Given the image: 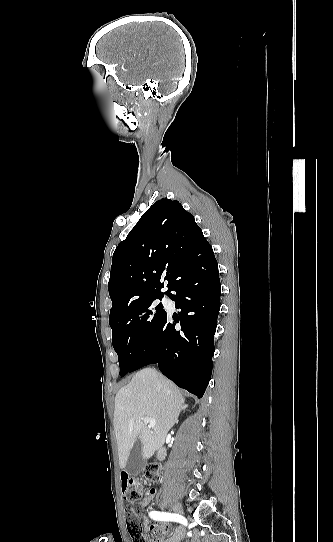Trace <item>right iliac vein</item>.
<instances>
[{
    "instance_id": "right-iliac-vein-1",
    "label": "right iliac vein",
    "mask_w": 333,
    "mask_h": 542,
    "mask_svg": "<svg viewBox=\"0 0 333 542\" xmlns=\"http://www.w3.org/2000/svg\"><path fill=\"white\" fill-rule=\"evenodd\" d=\"M163 505H165V504H163ZM173 509L177 510V512L180 513L181 515L183 514V512L181 510V506L179 504H176L173 507ZM184 536H185V534L183 533V528L181 526H178L176 528L174 536L171 537L170 539L166 540L165 542H180L184 538Z\"/></svg>"
}]
</instances>
